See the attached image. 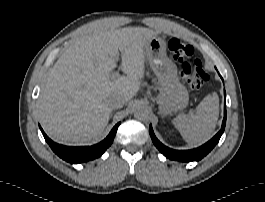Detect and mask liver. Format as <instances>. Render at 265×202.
<instances>
[{
    "label": "liver",
    "instance_id": "obj_1",
    "mask_svg": "<svg viewBox=\"0 0 265 202\" xmlns=\"http://www.w3.org/2000/svg\"><path fill=\"white\" fill-rule=\"evenodd\" d=\"M157 32L144 27L108 30L95 24L75 40L51 68L38 99V114L47 135L59 143L84 144L102 134L113 94L125 101L140 89L145 74V44ZM121 52L126 76L110 78Z\"/></svg>",
    "mask_w": 265,
    "mask_h": 202
}]
</instances>
